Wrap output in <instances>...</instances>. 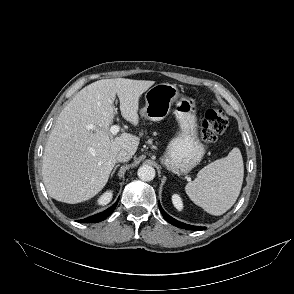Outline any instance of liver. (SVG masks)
<instances>
[{
  "mask_svg": "<svg viewBox=\"0 0 294 294\" xmlns=\"http://www.w3.org/2000/svg\"><path fill=\"white\" fill-rule=\"evenodd\" d=\"M155 82L102 79L80 90L59 114L43 155V182L50 197L69 204L91 199L106 185L116 155H134L140 139L129 133L113 137L116 108L137 126L139 99Z\"/></svg>",
  "mask_w": 294,
  "mask_h": 294,
  "instance_id": "liver-1",
  "label": "liver"
}]
</instances>
